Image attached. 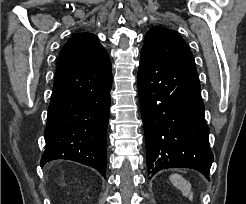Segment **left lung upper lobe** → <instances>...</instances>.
<instances>
[{"label": "left lung upper lobe", "instance_id": "5c2ea615", "mask_svg": "<svg viewBox=\"0 0 246 204\" xmlns=\"http://www.w3.org/2000/svg\"><path fill=\"white\" fill-rule=\"evenodd\" d=\"M141 52H146L164 62L196 70L194 57L183 38L164 27H152L145 35Z\"/></svg>", "mask_w": 246, "mask_h": 204}]
</instances>
